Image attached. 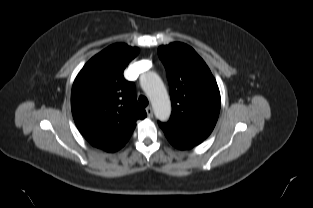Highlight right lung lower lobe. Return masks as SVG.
Returning a JSON list of instances; mask_svg holds the SVG:
<instances>
[{"label":"right lung lower lobe","instance_id":"obj_1","mask_svg":"<svg viewBox=\"0 0 313 208\" xmlns=\"http://www.w3.org/2000/svg\"><path fill=\"white\" fill-rule=\"evenodd\" d=\"M95 147L101 148V149L108 151V152H114V151H117L120 149V148H116V147H107V146H102V145H96Z\"/></svg>","mask_w":313,"mask_h":208}]
</instances>
